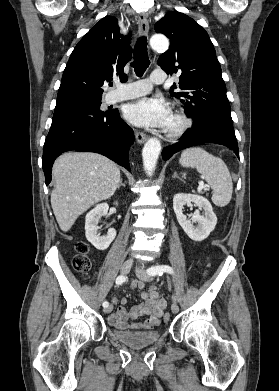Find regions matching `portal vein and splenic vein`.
I'll return each mask as SVG.
<instances>
[{"instance_id": "18ae733b", "label": "portal vein and splenic vein", "mask_w": 279, "mask_h": 391, "mask_svg": "<svg viewBox=\"0 0 279 391\" xmlns=\"http://www.w3.org/2000/svg\"><path fill=\"white\" fill-rule=\"evenodd\" d=\"M205 187H206V186L204 185V183H203V182H200V183H199V186H198V188H197V191H198V192H201L203 189H205Z\"/></svg>"}]
</instances>
